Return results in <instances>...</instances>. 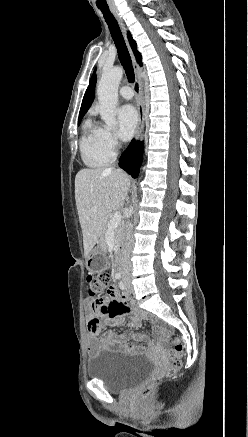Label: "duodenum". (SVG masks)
Instances as JSON below:
<instances>
[{
	"mask_svg": "<svg viewBox=\"0 0 248 437\" xmlns=\"http://www.w3.org/2000/svg\"><path fill=\"white\" fill-rule=\"evenodd\" d=\"M122 255H123V250H122V248H120L117 255H116V258H115L116 268H120L122 265Z\"/></svg>",
	"mask_w": 248,
	"mask_h": 437,
	"instance_id": "obj_1",
	"label": "duodenum"
}]
</instances>
